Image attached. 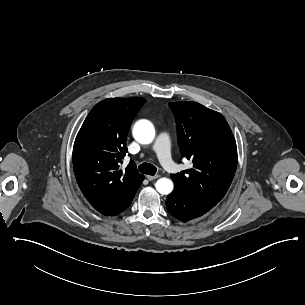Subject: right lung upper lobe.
I'll list each match as a JSON object with an SVG mask.
<instances>
[{"mask_svg":"<svg viewBox=\"0 0 305 305\" xmlns=\"http://www.w3.org/2000/svg\"><path fill=\"white\" fill-rule=\"evenodd\" d=\"M144 98H109L96 104L74 143L73 168L78 185L98 212L125 201L140 187L144 176L131 162L125 172L119 163L131 122L145 103Z\"/></svg>","mask_w":305,"mask_h":305,"instance_id":"1","label":"right lung upper lobe"}]
</instances>
